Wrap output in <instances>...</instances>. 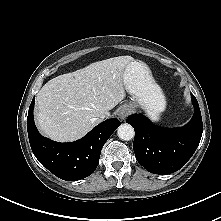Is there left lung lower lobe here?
Returning <instances> with one entry per match:
<instances>
[{"label":"left lung lower lobe","instance_id":"1","mask_svg":"<svg viewBox=\"0 0 221 221\" xmlns=\"http://www.w3.org/2000/svg\"><path fill=\"white\" fill-rule=\"evenodd\" d=\"M194 115L183 127L167 129L155 126L141 114L126 122L134 127L133 149L137 161L154 174H170L182 168L196 151L202 136V117L198 102L191 94Z\"/></svg>","mask_w":221,"mask_h":221}]
</instances>
